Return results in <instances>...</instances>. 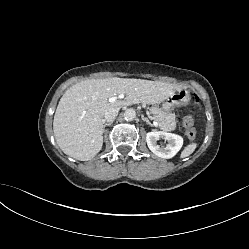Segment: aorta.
Masks as SVG:
<instances>
[{"label":"aorta","instance_id":"762f6f07","mask_svg":"<svg viewBox=\"0 0 249 249\" xmlns=\"http://www.w3.org/2000/svg\"><path fill=\"white\" fill-rule=\"evenodd\" d=\"M124 118L127 121H133L136 118V111L134 109H127L124 112Z\"/></svg>","mask_w":249,"mask_h":249}]
</instances>
